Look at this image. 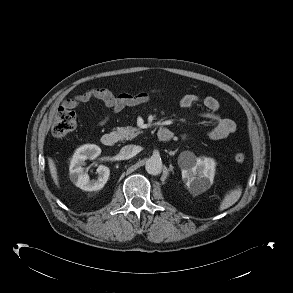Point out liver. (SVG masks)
Here are the masks:
<instances>
[{
    "instance_id": "6515ba94",
    "label": "liver",
    "mask_w": 293,
    "mask_h": 293,
    "mask_svg": "<svg viewBox=\"0 0 293 293\" xmlns=\"http://www.w3.org/2000/svg\"><path fill=\"white\" fill-rule=\"evenodd\" d=\"M48 166L55 185L59 187L58 172L54 160L51 157H48Z\"/></svg>"
}]
</instances>
